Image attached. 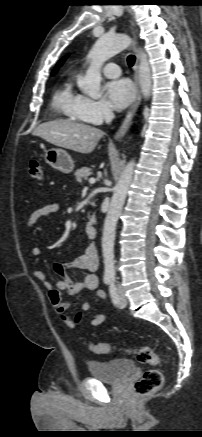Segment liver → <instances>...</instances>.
Listing matches in <instances>:
<instances>
[{"label":"liver","instance_id":"obj_1","mask_svg":"<svg viewBox=\"0 0 202 437\" xmlns=\"http://www.w3.org/2000/svg\"><path fill=\"white\" fill-rule=\"evenodd\" d=\"M33 135L53 145L88 154L95 149L104 132L90 125L59 119L40 124Z\"/></svg>","mask_w":202,"mask_h":437}]
</instances>
